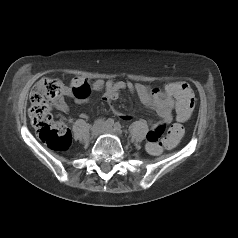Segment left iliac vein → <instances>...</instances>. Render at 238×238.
I'll return each instance as SVG.
<instances>
[{
    "instance_id": "1",
    "label": "left iliac vein",
    "mask_w": 238,
    "mask_h": 238,
    "mask_svg": "<svg viewBox=\"0 0 238 238\" xmlns=\"http://www.w3.org/2000/svg\"><path fill=\"white\" fill-rule=\"evenodd\" d=\"M104 132L110 133V134H115V135L117 134L116 130L113 129L112 127H106Z\"/></svg>"
}]
</instances>
